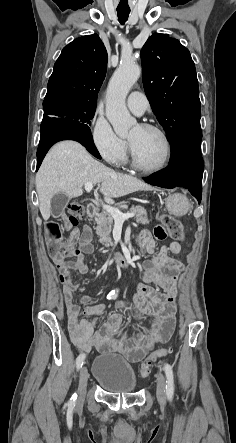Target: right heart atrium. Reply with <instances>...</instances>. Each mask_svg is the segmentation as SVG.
I'll return each mask as SVG.
<instances>
[{"label": "right heart atrium", "instance_id": "d8ad5b80", "mask_svg": "<svg viewBox=\"0 0 236 443\" xmlns=\"http://www.w3.org/2000/svg\"><path fill=\"white\" fill-rule=\"evenodd\" d=\"M91 142L99 155L112 166H121L127 160L128 143L112 129L107 119L96 113L89 126Z\"/></svg>", "mask_w": 236, "mask_h": 443}]
</instances>
